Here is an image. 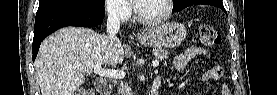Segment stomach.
<instances>
[{
  "label": "stomach",
  "instance_id": "1",
  "mask_svg": "<svg viewBox=\"0 0 277 95\" xmlns=\"http://www.w3.org/2000/svg\"><path fill=\"white\" fill-rule=\"evenodd\" d=\"M187 31L182 24L167 23L144 30L139 36V42L155 49L174 48L186 38Z\"/></svg>",
  "mask_w": 277,
  "mask_h": 95
}]
</instances>
